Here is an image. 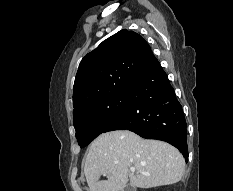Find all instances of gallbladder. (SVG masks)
Returning a JSON list of instances; mask_svg holds the SVG:
<instances>
[{
  "label": "gallbladder",
  "instance_id": "1",
  "mask_svg": "<svg viewBox=\"0 0 233 191\" xmlns=\"http://www.w3.org/2000/svg\"><path fill=\"white\" fill-rule=\"evenodd\" d=\"M123 191H136L135 187H132L130 184L126 185Z\"/></svg>",
  "mask_w": 233,
  "mask_h": 191
}]
</instances>
